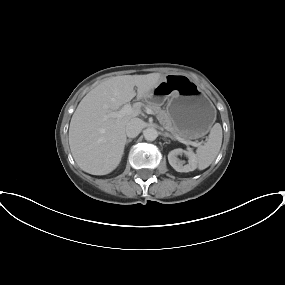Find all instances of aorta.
I'll return each mask as SVG.
<instances>
[{
    "label": "aorta",
    "instance_id": "obj_1",
    "mask_svg": "<svg viewBox=\"0 0 285 285\" xmlns=\"http://www.w3.org/2000/svg\"><path fill=\"white\" fill-rule=\"evenodd\" d=\"M157 136H158V132L153 127L147 128L144 131V138L147 141H154L157 138Z\"/></svg>",
    "mask_w": 285,
    "mask_h": 285
}]
</instances>
